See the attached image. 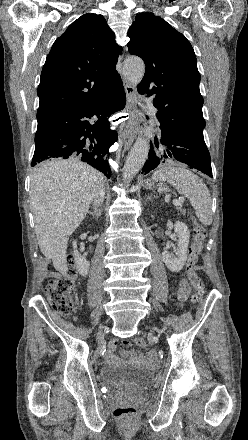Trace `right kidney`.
<instances>
[{
    "label": "right kidney",
    "mask_w": 248,
    "mask_h": 440,
    "mask_svg": "<svg viewBox=\"0 0 248 440\" xmlns=\"http://www.w3.org/2000/svg\"><path fill=\"white\" fill-rule=\"evenodd\" d=\"M73 256H74L77 272L80 275H82L83 277H85L88 274V272H89L90 263H89V261L86 260L85 257H83L78 252V250H77V242L76 241L73 242Z\"/></svg>",
    "instance_id": "ca27d5eb"
}]
</instances>
